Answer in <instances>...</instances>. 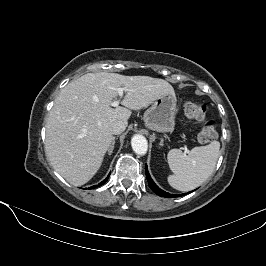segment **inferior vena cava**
<instances>
[{
	"label": "inferior vena cava",
	"mask_w": 266,
	"mask_h": 266,
	"mask_svg": "<svg viewBox=\"0 0 266 266\" xmlns=\"http://www.w3.org/2000/svg\"><path fill=\"white\" fill-rule=\"evenodd\" d=\"M126 129V123L122 120H114L109 125L112 134H121Z\"/></svg>",
	"instance_id": "inferior-vena-cava-1"
}]
</instances>
